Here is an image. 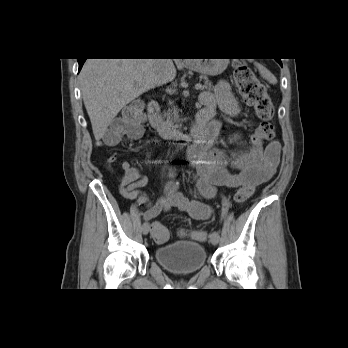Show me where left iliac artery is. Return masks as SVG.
Returning <instances> with one entry per match:
<instances>
[{
	"label": "left iliac artery",
	"mask_w": 348,
	"mask_h": 348,
	"mask_svg": "<svg viewBox=\"0 0 348 348\" xmlns=\"http://www.w3.org/2000/svg\"><path fill=\"white\" fill-rule=\"evenodd\" d=\"M222 202H223V209H222L220 220H223V218H226V215L230 214V209H231V203L228 201V197H222Z\"/></svg>",
	"instance_id": "left-iliac-artery-1"
}]
</instances>
